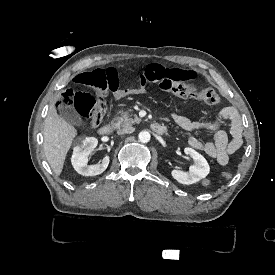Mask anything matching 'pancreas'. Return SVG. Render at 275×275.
<instances>
[{
  "label": "pancreas",
  "instance_id": "cf45deb5",
  "mask_svg": "<svg viewBox=\"0 0 275 275\" xmlns=\"http://www.w3.org/2000/svg\"><path fill=\"white\" fill-rule=\"evenodd\" d=\"M141 122V118H139L136 114L132 115L129 111H120V116H116L111 124L114 128L119 129L121 127H131L134 124H139Z\"/></svg>",
  "mask_w": 275,
  "mask_h": 275
}]
</instances>
